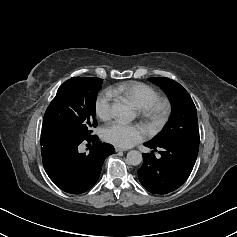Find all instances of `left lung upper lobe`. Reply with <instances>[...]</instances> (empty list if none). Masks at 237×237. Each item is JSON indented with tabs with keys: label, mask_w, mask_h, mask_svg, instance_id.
<instances>
[{
	"label": "left lung upper lobe",
	"mask_w": 237,
	"mask_h": 237,
	"mask_svg": "<svg viewBox=\"0 0 237 237\" xmlns=\"http://www.w3.org/2000/svg\"><path fill=\"white\" fill-rule=\"evenodd\" d=\"M149 80L165 91L172 104V114L162 131L148 142L157 146L199 145L197 110L188 92L179 83L169 78L153 77Z\"/></svg>",
	"instance_id": "left-lung-upper-lobe-1"
}]
</instances>
